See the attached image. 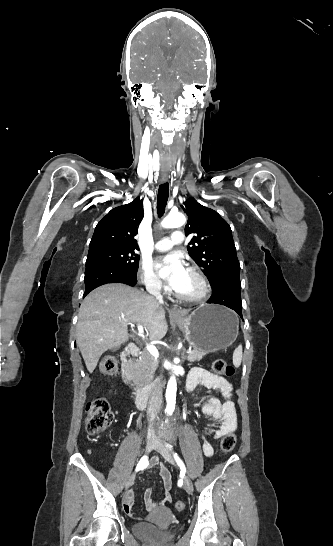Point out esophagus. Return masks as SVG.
I'll return each instance as SVG.
<instances>
[{
	"instance_id": "obj_1",
	"label": "esophagus",
	"mask_w": 333,
	"mask_h": 546,
	"mask_svg": "<svg viewBox=\"0 0 333 546\" xmlns=\"http://www.w3.org/2000/svg\"><path fill=\"white\" fill-rule=\"evenodd\" d=\"M167 180H168L167 174H162L161 177H160L161 183H165V182H167ZM170 313H171L172 316H180V315H182V312H181L180 308H178L177 306H173V307L170 309Z\"/></svg>"
}]
</instances>
